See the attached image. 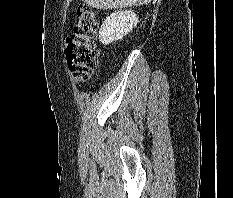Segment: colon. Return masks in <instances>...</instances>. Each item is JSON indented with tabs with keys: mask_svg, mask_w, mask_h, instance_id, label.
<instances>
[{
	"mask_svg": "<svg viewBox=\"0 0 233 198\" xmlns=\"http://www.w3.org/2000/svg\"><path fill=\"white\" fill-rule=\"evenodd\" d=\"M97 26L96 13L87 5H80L73 33L65 40L68 66L76 82L88 80L98 66Z\"/></svg>",
	"mask_w": 233,
	"mask_h": 198,
	"instance_id": "5ec220e1",
	"label": "colon"
}]
</instances>
